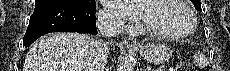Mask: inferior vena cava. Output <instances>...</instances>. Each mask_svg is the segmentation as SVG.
Instances as JSON below:
<instances>
[{
	"instance_id": "602c4592",
	"label": "inferior vena cava",
	"mask_w": 230,
	"mask_h": 71,
	"mask_svg": "<svg viewBox=\"0 0 230 71\" xmlns=\"http://www.w3.org/2000/svg\"><path fill=\"white\" fill-rule=\"evenodd\" d=\"M97 29L106 38L118 36L124 30V23L107 13H98ZM109 53L108 43L100 39L91 42V49L85 71H104Z\"/></svg>"
}]
</instances>
